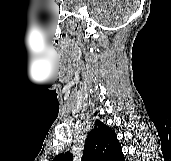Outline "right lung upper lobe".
Returning a JSON list of instances; mask_svg holds the SVG:
<instances>
[{"label":"right lung upper lobe","instance_id":"1","mask_svg":"<svg viewBox=\"0 0 171 161\" xmlns=\"http://www.w3.org/2000/svg\"><path fill=\"white\" fill-rule=\"evenodd\" d=\"M116 133L97 120L86 138L82 161H124ZM53 161H73L69 152L57 155Z\"/></svg>","mask_w":171,"mask_h":161}]
</instances>
